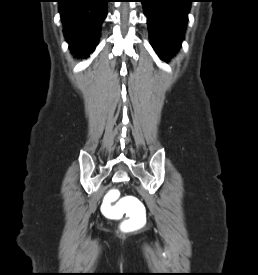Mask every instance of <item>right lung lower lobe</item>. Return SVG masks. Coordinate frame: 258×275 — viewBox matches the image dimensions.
Here are the masks:
<instances>
[{
  "instance_id": "98d812e1",
  "label": "right lung lower lobe",
  "mask_w": 258,
  "mask_h": 275,
  "mask_svg": "<svg viewBox=\"0 0 258 275\" xmlns=\"http://www.w3.org/2000/svg\"><path fill=\"white\" fill-rule=\"evenodd\" d=\"M64 33L71 51L77 55L93 52L107 11V0H59Z\"/></svg>"
}]
</instances>
